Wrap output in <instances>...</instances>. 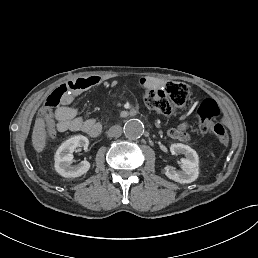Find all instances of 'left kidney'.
<instances>
[{
  "label": "left kidney",
  "instance_id": "1",
  "mask_svg": "<svg viewBox=\"0 0 258 258\" xmlns=\"http://www.w3.org/2000/svg\"><path fill=\"white\" fill-rule=\"evenodd\" d=\"M170 152L173 155L183 154L185 158L181 160V171H176L171 166L165 167V175L179 183H191L199 175V157L190 146L175 143L170 146Z\"/></svg>",
  "mask_w": 258,
  "mask_h": 258
}]
</instances>
